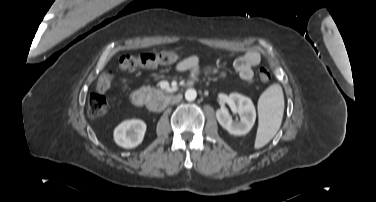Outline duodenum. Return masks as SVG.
I'll return each instance as SVG.
<instances>
[{"label": "duodenum", "mask_w": 376, "mask_h": 202, "mask_svg": "<svg viewBox=\"0 0 376 202\" xmlns=\"http://www.w3.org/2000/svg\"><path fill=\"white\" fill-rule=\"evenodd\" d=\"M180 93L172 95L159 96L150 102H146L144 94L141 91L135 90L130 95V102L134 107L145 108L149 111H159L167 106L172 100L176 99Z\"/></svg>", "instance_id": "1"}]
</instances>
